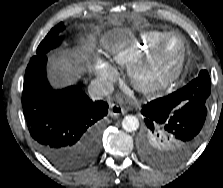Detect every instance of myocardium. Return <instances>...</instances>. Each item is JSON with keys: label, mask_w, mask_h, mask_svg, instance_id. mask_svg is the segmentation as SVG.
<instances>
[{"label": "myocardium", "mask_w": 223, "mask_h": 188, "mask_svg": "<svg viewBox=\"0 0 223 188\" xmlns=\"http://www.w3.org/2000/svg\"><path fill=\"white\" fill-rule=\"evenodd\" d=\"M172 38H177L181 46L176 63L170 69L162 71L155 77H150L151 72L165 60V48ZM187 53L188 47L185 38L176 32L167 33L152 51L131 66L129 79L132 86L146 95H153L173 85L183 73Z\"/></svg>", "instance_id": "obj_1"}]
</instances>
